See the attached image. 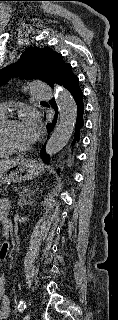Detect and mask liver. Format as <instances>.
<instances>
[{"instance_id": "1", "label": "liver", "mask_w": 118, "mask_h": 320, "mask_svg": "<svg viewBox=\"0 0 118 320\" xmlns=\"http://www.w3.org/2000/svg\"><path fill=\"white\" fill-rule=\"evenodd\" d=\"M13 160H0V166H3V165H5V164H7V163H10V162H12Z\"/></svg>"}]
</instances>
